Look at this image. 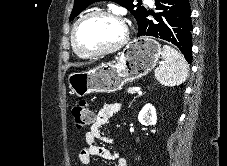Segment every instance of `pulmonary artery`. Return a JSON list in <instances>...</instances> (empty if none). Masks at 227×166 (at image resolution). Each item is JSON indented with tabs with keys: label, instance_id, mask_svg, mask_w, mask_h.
I'll return each instance as SVG.
<instances>
[{
	"label": "pulmonary artery",
	"instance_id": "pulmonary-artery-1",
	"mask_svg": "<svg viewBox=\"0 0 227 166\" xmlns=\"http://www.w3.org/2000/svg\"><path fill=\"white\" fill-rule=\"evenodd\" d=\"M145 1L149 6L154 7V0H145Z\"/></svg>",
	"mask_w": 227,
	"mask_h": 166
}]
</instances>
